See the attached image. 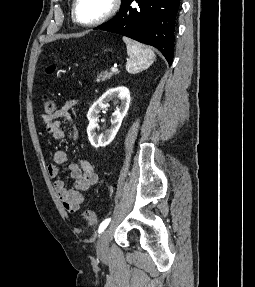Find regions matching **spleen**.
I'll list each match as a JSON object with an SVG mask.
<instances>
[{"mask_svg": "<svg viewBox=\"0 0 255 287\" xmlns=\"http://www.w3.org/2000/svg\"><path fill=\"white\" fill-rule=\"evenodd\" d=\"M123 42H125L127 46V54L130 58L126 64V70H128V72L134 74V72H138V70H144V68H148L153 60H155V54L148 46L134 42V40L125 38V36H123Z\"/></svg>", "mask_w": 255, "mask_h": 287, "instance_id": "obj_1", "label": "spleen"}]
</instances>
